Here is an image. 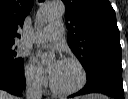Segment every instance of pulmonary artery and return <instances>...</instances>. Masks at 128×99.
Returning <instances> with one entry per match:
<instances>
[{
    "label": "pulmonary artery",
    "instance_id": "pulmonary-artery-1",
    "mask_svg": "<svg viewBox=\"0 0 128 99\" xmlns=\"http://www.w3.org/2000/svg\"><path fill=\"white\" fill-rule=\"evenodd\" d=\"M63 33L64 28L62 24L54 23L35 33L33 41L39 43L57 42L62 38Z\"/></svg>",
    "mask_w": 128,
    "mask_h": 99
}]
</instances>
